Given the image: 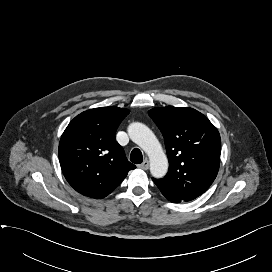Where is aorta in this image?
Masks as SVG:
<instances>
[{
    "label": "aorta",
    "instance_id": "aorta-1",
    "mask_svg": "<svg viewBox=\"0 0 272 272\" xmlns=\"http://www.w3.org/2000/svg\"><path fill=\"white\" fill-rule=\"evenodd\" d=\"M128 134L130 139L148 155L152 176L164 177L168 170V159L154 133L145 124L134 122L128 126Z\"/></svg>",
    "mask_w": 272,
    "mask_h": 272
}]
</instances>
